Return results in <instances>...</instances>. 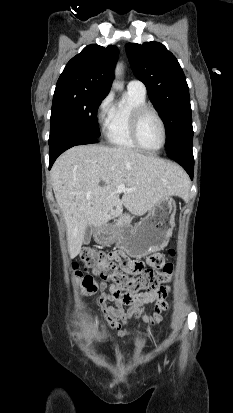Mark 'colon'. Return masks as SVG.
<instances>
[{
	"mask_svg": "<svg viewBox=\"0 0 233 413\" xmlns=\"http://www.w3.org/2000/svg\"><path fill=\"white\" fill-rule=\"evenodd\" d=\"M169 253L174 256L175 250L170 249ZM80 258L84 270L75 263L74 274L88 294L97 290L95 277L112 282L122 292L138 293L142 290L148 292L158 290L171 279L173 273V265L162 261L155 267H145L137 276H126L125 273L120 272L111 254L91 248L84 249Z\"/></svg>",
	"mask_w": 233,
	"mask_h": 413,
	"instance_id": "obj_1",
	"label": "colon"
}]
</instances>
